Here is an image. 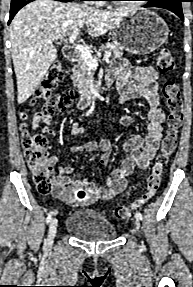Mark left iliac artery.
Instances as JSON below:
<instances>
[{
    "label": "left iliac artery",
    "instance_id": "left-iliac-artery-1",
    "mask_svg": "<svg viewBox=\"0 0 193 287\" xmlns=\"http://www.w3.org/2000/svg\"><path fill=\"white\" fill-rule=\"evenodd\" d=\"M135 217H136L137 219H140V220L143 219L142 214H141L140 212H136Z\"/></svg>",
    "mask_w": 193,
    "mask_h": 287
}]
</instances>
